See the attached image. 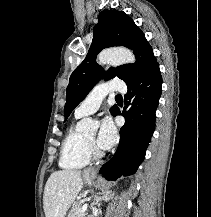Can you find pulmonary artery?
Here are the masks:
<instances>
[{
  "instance_id": "obj_1",
  "label": "pulmonary artery",
  "mask_w": 211,
  "mask_h": 217,
  "mask_svg": "<svg viewBox=\"0 0 211 217\" xmlns=\"http://www.w3.org/2000/svg\"><path fill=\"white\" fill-rule=\"evenodd\" d=\"M126 89V84L119 79H113L96 85L76 108L75 115L83 117L93 114L99 109L105 96L115 92L124 93Z\"/></svg>"
}]
</instances>
